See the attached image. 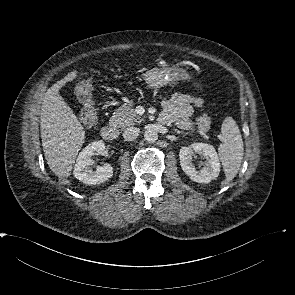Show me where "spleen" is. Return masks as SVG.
<instances>
[{
	"label": "spleen",
	"mask_w": 295,
	"mask_h": 295,
	"mask_svg": "<svg viewBox=\"0 0 295 295\" xmlns=\"http://www.w3.org/2000/svg\"><path fill=\"white\" fill-rule=\"evenodd\" d=\"M222 143L218 148L226 181H231L238 173L243 159L244 148L240 130L232 117H226L221 126Z\"/></svg>",
	"instance_id": "3e777b00"
}]
</instances>
